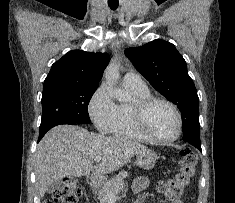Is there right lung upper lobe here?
Masks as SVG:
<instances>
[{
	"instance_id": "right-lung-upper-lobe-1",
	"label": "right lung upper lobe",
	"mask_w": 235,
	"mask_h": 203,
	"mask_svg": "<svg viewBox=\"0 0 235 203\" xmlns=\"http://www.w3.org/2000/svg\"><path fill=\"white\" fill-rule=\"evenodd\" d=\"M109 61L106 53L70 51L52 65L44 87L59 84L98 85Z\"/></svg>"
}]
</instances>
